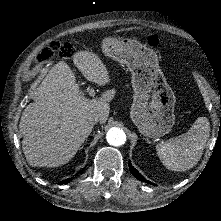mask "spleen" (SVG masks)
Returning <instances> with one entry per match:
<instances>
[{
	"label": "spleen",
	"mask_w": 221,
	"mask_h": 221,
	"mask_svg": "<svg viewBox=\"0 0 221 221\" xmlns=\"http://www.w3.org/2000/svg\"><path fill=\"white\" fill-rule=\"evenodd\" d=\"M210 136V122L198 117L182 135L172 137L156 147L162 163L171 171L183 172L193 168L201 159Z\"/></svg>",
	"instance_id": "obj_1"
}]
</instances>
